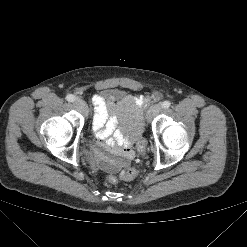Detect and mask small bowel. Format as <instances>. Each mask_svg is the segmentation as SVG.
<instances>
[{"mask_svg": "<svg viewBox=\"0 0 247 247\" xmlns=\"http://www.w3.org/2000/svg\"><path fill=\"white\" fill-rule=\"evenodd\" d=\"M146 99L141 96L125 95L120 100L104 99L100 95L93 97L95 115L93 131L97 138H108L115 133L117 145L111 141L118 160L99 157L100 164L107 170H119L128 165L133 157L132 142L136 140L142 130V108Z\"/></svg>", "mask_w": 247, "mask_h": 247, "instance_id": "1", "label": "small bowel"}]
</instances>
